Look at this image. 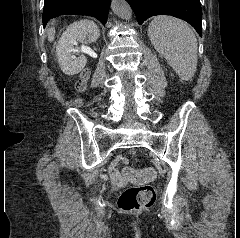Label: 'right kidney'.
I'll list each match as a JSON object with an SVG mask.
<instances>
[{"mask_svg":"<svg viewBox=\"0 0 240 238\" xmlns=\"http://www.w3.org/2000/svg\"><path fill=\"white\" fill-rule=\"evenodd\" d=\"M99 36L100 30L90 20H80L68 26L56 46V57L63 73L75 75L84 69L87 58L83 54L77 58L76 53L78 50L74 48V45L83 42L87 37L89 42H96ZM89 50L87 47L82 48L84 53Z\"/></svg>","mask_w":240,"mask_h":238,"instance_id":"ca27d5eb","label":"right kidney"}]
</instances>
